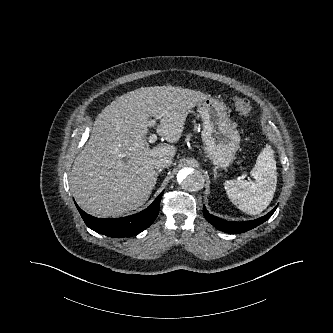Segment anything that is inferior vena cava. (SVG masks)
Wrapping results in <instances>:
<instances>
[{
  "label": "inferior vena cava",
  "mask_w": 333,
  "mask_h": 333,
  "mask_svg": "<svg viewBox=\"0 0 333 333\" xmlns=\"http://www.w3.org/2000/svg\"><path fill=\"white\" fill-rule=\"evenodd\" d=\"M155 168L168 167L171 164V159L169 157L156 158L153 162Z\"/></svg>",
  "instance_id": "obj_1"
}]
</instances>
